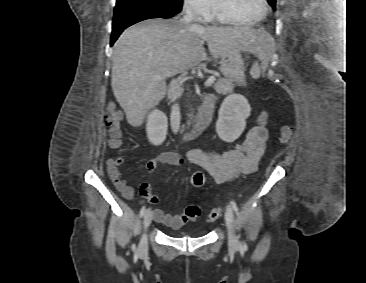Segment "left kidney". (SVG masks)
<instances>
[{
	"instance_id": "obj_1",
	"label": "left kidney",
	"mask_w": 366,
	"mask_h": 283,
	"mask_svg": "<svg viewBox=\"0 0 366 283\" xmlns=\"http://www.w3.org/2000/svg\"><path fill=\"white\" fill-rule=\"evenodd\" d=\"M251 107L242 95L227 96L219 110L216 132L225 142H234L240 137L250 116Z\"/></svg>"
}]
</instances>
